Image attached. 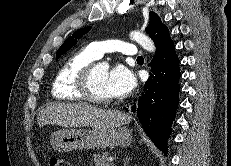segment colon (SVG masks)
Returning a JSON list of instances; mask_svg holds the SVG:
<instances>
[{"label":"colon","instance_id":"obj_1","mask_svg":"<svg viewBox=\"0 0 231 166\" xmlns=\"http://www.w3.org/2000/svg\"><path fill=\"white\" fill-rule=\"evenodd\" d=\"M50 166H73L72 163L64 158L53 156L50 159Z\"/></svg>","mask_w":231,"mask_h":166}]
</instances>
